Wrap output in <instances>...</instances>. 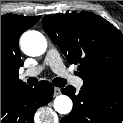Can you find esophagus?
Wrapping results in <instances>:
<instances>
[{
	"mask_svg": "<svg viewBox=\"0 0 123 123\" xmlns=\"http://www.w3.org/2000/svg\"><path fill=\"white\" fill-rule=\"evenodd\" d=\"M61 94V89L59 87L54 88V96H58Z\"/></svg>",
	"mask_w": 123,
	"mask_h": 123,
	"instance_id": "1",
	"label": "esophagus"
}]
</instances>
